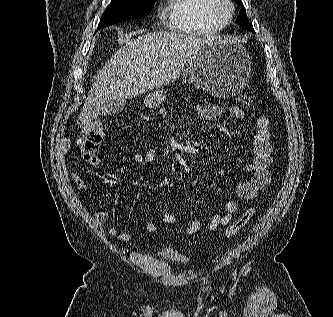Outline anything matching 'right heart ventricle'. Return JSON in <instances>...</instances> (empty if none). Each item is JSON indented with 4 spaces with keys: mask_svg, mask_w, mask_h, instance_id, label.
Here are the masks:
<instances>
[{
    "mask_svg": "<svg viewBox=\"0 0 333 317\" xmlns=\"http://www.w3.org/2000/svg\"><path fill=\"white\" fill-rule=\"evenodd\" d=\"M210 0H167L162 17L166 27L186 35L204 36L219 32L225 24L208 11Z\"/></svg>",
    "mask_w": 333,
    "mask_h": 317,
    "instance_id": "right-heart-ventricle-1",
    "label": "right heart ventricle"
}]
</instances>
